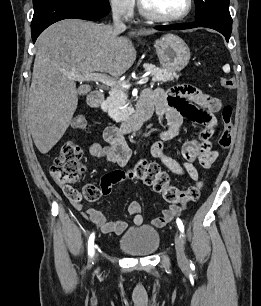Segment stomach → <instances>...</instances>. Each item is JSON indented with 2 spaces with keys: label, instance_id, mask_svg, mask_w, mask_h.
<instances>
[{
  "label": "stomach",
  "instance_id": "1",
  "mask_svg": "<svg viewBox=\"0 0 261 306\" xmlns=\"http://www.w3.org/2000/svg\"><path fill=\"white\" fill-rule=\"evenodd\" d=\"M154 47L163 69L179 72L190 60V49L179 36L168 33L155 41Z\"/></svg>",
  "mask_w": 261,
  "mask_h": 306
}]
</instances>
